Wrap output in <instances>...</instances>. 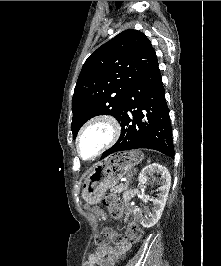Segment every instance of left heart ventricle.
<instances>
[{"label": "left heart ventricle", "mask_w": 221, "mask_h": 266, "mask_svg": "<svg viewBox=\"0 0 221 266\" xmlns=\"http://www.w3.org/2000/svg\"><path fill=\"white\" fill-rule=\"evenodd\" d=\"M110 129L104 123L90 127L80 140V152L85 158L93 156L109 139Z\"/></svg>", "instance_id": "b2bd125f"}]
</instances>
